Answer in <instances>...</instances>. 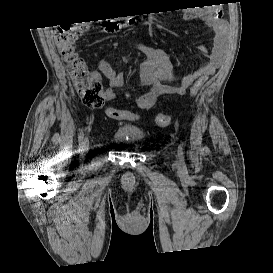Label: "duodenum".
<instances>
[{"mask_svg":"<svg viewBox=\"0 0 273 273\" xmlns=\"http://www.w3.org/2000/svg\"><path fill=\"white\" fill-rule=\"evenodd\" d=\"M133 23V20H128L124 22L116 21V20H110L106 23V30L110 32H117L121 31L124 27H127Z\"/></svg>","mask_w":273,"mask_h":273,"instance_id":"obj_1","label":"duodenum"}]
</instances>
